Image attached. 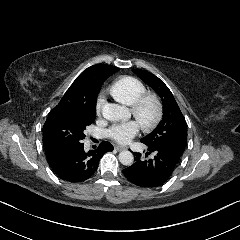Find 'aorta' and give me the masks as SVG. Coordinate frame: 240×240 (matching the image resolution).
<instances>
[{"label": "aorta", "mask_w": 240, "mask_h": 240, "mask_svg": "<svg viewBox=\"0 0 240 240\" xmlns=\"http://www.w3.org/2000/svg\"><path fill=\"white\" fill-rule=\"evenodd\" d=\"M126 113L127 109L116 103H106L101 108L102 117L111 122L121 120ZM118 159L123 165H131L134 157L129 150H122L118 155Z\"/></svg>", "instance_id": "762f6f07"}]
</instances>
